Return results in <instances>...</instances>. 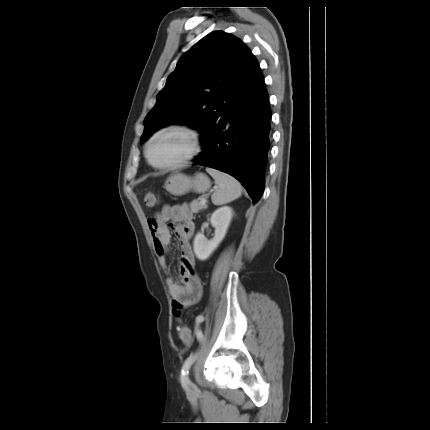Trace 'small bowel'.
Here are the masks:
<instances>
[{
    "instance_id": "small-bowel-1",
    "label": "small bowel",
    "mask_w": 430,
    "mask_h": 430,
    "mask_svg": "<svg viewBox=\"0 0 430 430\" xmlns=\"http://www.w3.org/2000/svg\"><path fill=\"white\" fill-rule=\"evenodd\" d=\"M148 223L158 262L168 274L166 283L177 311L179 308L195 305L202 297L203 286L196 273L194 255L190 245V239L194 234V224L188 205L183 203L165 206ZM170 224H175L174 229L180 243L181 262L178 267L180 280H176L170 275L167 264L168 245L171 238ZM175 315L179 323L177 330L180 333L183 328L188 327L182 323L179 312H176ZM201 319V315L197 316L196 323H202Z\"/></svg>"
}]
</instances>
